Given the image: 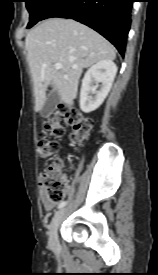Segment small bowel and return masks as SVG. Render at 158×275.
Returning a JSON list of instances; mask_svg holds the SVG:
<instances>
[{"label":"small bowel","mask_w":158,"mask_h":275,"mask_svg":"<svg viewBox=\"0 0 158 275\" xmlns=\"http://www.w3.org/2000/svg\"><path fill=\"white\" fill-rule=\"evenodd\" d=\"M41 200H42V205H43L44 209L47 210V211L52 210L53 207H54L55 204H56V202H53V201L49 200V199L46 197V195H45L44 192L41 193Z\"/></svg>","instance_id":"small-bowel-1"}]
</instances>
